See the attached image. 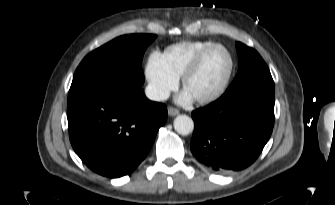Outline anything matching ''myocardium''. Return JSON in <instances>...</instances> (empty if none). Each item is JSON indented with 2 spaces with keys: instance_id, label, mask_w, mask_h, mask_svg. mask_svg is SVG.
Segmentation results:
<instances>
[{
  "instance_id": "f54148a6",
  "label": "myocardium",
  "mask_w": 335,
  "mask_h": 205,
  "mask_svg": "<svg viewBox=\"0 0 335 205\" xmlns=\"http://www.w3.org/2000/svg\"><path fill=\"white\" fill-rule=\"evenodd\" d=\"M216 48H221L227 53L230 61L229 69L221 84L213 92L203 97L194 98L200 104L211 103L220 98L226 91L235 71V58L231 50L221 43H213L205 47L195 56L181 76L182 86L185 89L188 80L198 71L206 55Z\"/></svg>"
}]
</instances>
